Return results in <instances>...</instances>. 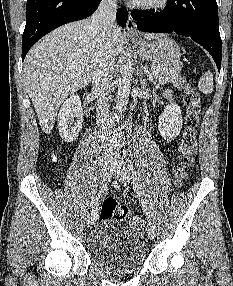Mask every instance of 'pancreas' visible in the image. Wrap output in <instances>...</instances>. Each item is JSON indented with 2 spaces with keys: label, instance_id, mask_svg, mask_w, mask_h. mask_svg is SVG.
Returning a JSON list of instances; mask_svg holds the SVG:
<instances>
[{
  "label": "pancreas",
  "instance_id": "pancreas-1",
  "mask_svg": "<svg viewBox=\"0 0 233 286\" xmlns=\"http://www.w3.org/2000/svg\"><path fill=\"white\" fill-rule=\"evenodd\" d=\"M149 72L156 73L154 77H149L153 84L163 85L171 82L176 88L181 90L186 83V80L181 78L180 72L176 68L152 65Z\"/></svg>",
  "mask_w": 233,
  "mask_h": 286
}]
</instances>
